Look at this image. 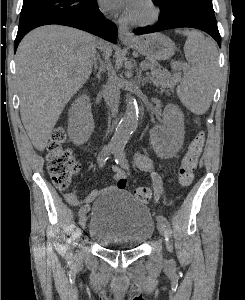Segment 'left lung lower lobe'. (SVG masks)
Listing matches in <instances>:
<instances>
[{"mask_svg": "<svg viewBox=\"0 0 245 300\" xmlns=\"http://www.w3.org/2000/svg\"><path fill=\"white\" fill-rule=\"evenodd\" d=\"M181 27L202 30L211 35L221 47V36L214 12L194 6H176L168 14L160 15L158 22L153 26L139 27L134 33L142 35Z\"/></svg>", "mask_w": 245, "mask_h": 300, "instance_id": "1", "label": "left lung lower lobe"}]
</instances>
